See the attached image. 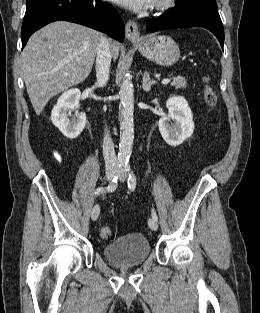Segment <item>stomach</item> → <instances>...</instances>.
<instances>
[{
	"label": "stomach",
	"mask_w": 260,
	"mask_h": 313,
	"mask_svg": "<svg viewBox=\"0 0 260 313\" xmlns=\"http://www.w3.org/2000/svg\"><path fill=\"white\" fill-rule=\"evenodd\" d=\"M133 43L144 57L161 66H171L181 56L176 42L166 35H149Z\"/></svg>",
	"instance_id": "0dacf381"
}]
</instances>
